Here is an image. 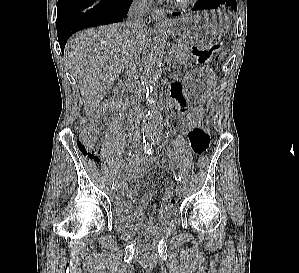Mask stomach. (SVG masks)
I'll return each instance as SVG.
<instances>
[{"mask_svg": "<svg viewBox=\"0 0 299 273\" xmlns=\"http://www.w3.org/2000/svg\"><path fill=\"white\" fill-rule=\"evenodd\" d=\"M230 27L229 17L221 10L201 11L173 20L169 30L178 41L204 44L220 39ZM214 69H197L186 74L189 101H202L210 89Z\"/></svg>", "mask_w": 299, "mask_h": 273, "instance_id": "1", "label": "stomach"}]
</instances>
